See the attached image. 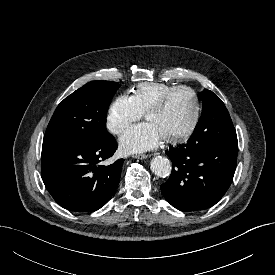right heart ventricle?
<instances>
[{
	"label": "right heart ventricle",
	"instance_id": "1",
	"mask_svg": "<svg viewBox=\"0 0 275 275\" xmlns=\"http://www.w3.org/2000/svg\"><path fill=\"white\" fill-rule=\"evenodd\" d=\"M173 85L159 82L138 84L131 90V98L137 109L143 114L164 92Z\"/></svg>",
	"mask_w": 275,
	"mask_h": 275
}]
</instances>
